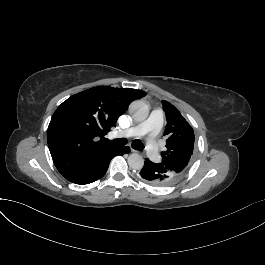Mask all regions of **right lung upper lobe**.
Wrapping results in <instances>:
<instances>
[{"label": "right lung upper lobe", "instance_id": "right-lung-upper-lobe-1", "mask_svg": "<svg viewBox=\"0 0 265 265\" xmlns=\"http://www.w3.org/2000/svg\"><path fill=\"white\" fill-rule=\"evenodd\" d=\"M146 93L131 88L98 86L64 101L54 112L47 130L48 147L58 171L81 184L93 177L118 149L97 141Z\"/></svg>", "mask_w": 265, "mask_h": 265}]
</instances>
